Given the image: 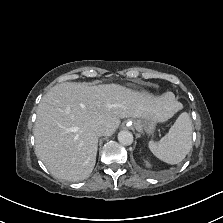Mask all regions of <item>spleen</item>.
<instances>
[{"label":"spleen","instance_id":"spleen-1","mask_svg":"<svg viewBox=\"0 0 223 223\" xmlns=\"http://www.w3.org/2000/svg\"><path fill=\"white\" fill-rule=\"evenodd\" d=\"M192 129L193 125L189 114L183 112L160 141H149V149L163 162L172 165L178 164L192 148Z\"/></svg>","mask_w":223,"mask_h":223}]
</instances>
